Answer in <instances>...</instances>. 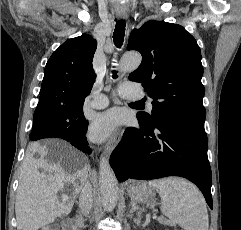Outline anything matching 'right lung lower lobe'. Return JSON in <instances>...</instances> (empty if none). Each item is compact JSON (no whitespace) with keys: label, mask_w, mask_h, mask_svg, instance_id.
I'll return each instance as SVG.
<instances>
[{"label":"right lung lower lobe","mask_w":241,"mask_h":230,"mask_svg":"<svg viewBox=\"0 0 241 230\" xmlns=\"http://www.w3.org/2000/svg\"><path fill=\"white\" fill-rule=\"evenodd\" d=\"M34 114L39 115L41 113L37 114L36 110H35ZM37 130H39L38 125L33 124L31 132H36ZM47 132H49V131H47ZM86 132H87V127L82 131L81 134L54 133V134H52V136L55 137V138H62L64 140L70 142L77 149L90 154L91 153V149L88 147L87 138L85 136Z\"/></svg>","instance_id":"right-lung-lower-lobe-1"}]
</instances>
